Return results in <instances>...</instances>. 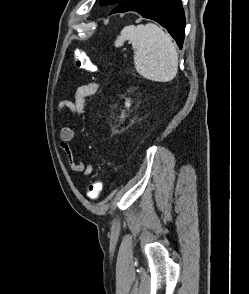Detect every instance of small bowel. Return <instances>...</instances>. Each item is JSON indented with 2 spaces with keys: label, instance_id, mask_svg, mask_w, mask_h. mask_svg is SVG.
Returning <instances> with one entry per match:
<instances>
[{
  "label": "small bowel",
  "instance_id": "obj_1",
  "mask_svg": "<svg viewBox=\"0 0 249 294\" xmlns=\"http://www.w3.org/2000/svg\"><path fill=\"white\" fill-rule=\"evenodd\" d=\"M98 83L91 82L85 85H81L76 89L74 100H62L57 106V111L61 112L67 109L73 120L81 117L84 112L86 99L95 95L98 90ZM76 136V130L74 127H64L59 132L60 148L65 154L69 166L72 171L82 173L84 176H89L93 172V165L89 162H84L74 149L69 145Z\"/></svg>",
  "mask_w": 249,
  "mask_h": 294
}]
</instances>
